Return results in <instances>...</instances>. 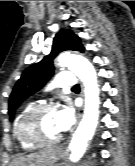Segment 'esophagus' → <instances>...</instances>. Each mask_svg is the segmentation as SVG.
Here are the masks:
<instances>
[{"label":"esophagus","instance_id":"1","mask_svg":"<svg viewBox=\"0 0 135 166\" xmlns=\"http://www.w3.org/2000/svg\"><path fill=\"white\" fill-rule=\"evenodd\" d=\"M83 114V107L80 109L79 116L81 117Z\"/></svg>","mask_w":135,"mask_h":166}]
</instances>
